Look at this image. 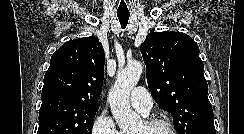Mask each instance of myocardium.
<instances>
[{
	"label": "myocardium",
	"instance_id": "1",
	"mask_svg": "<svg viewBox=\"0 0 244 134\" xmlns=\"http://www.w3.org/2000/svg\"><path fill=\"white\" fill-rule=\"evenodd\" d=\"M143 124L145 127L150 128L158 125L165 126L169 129L171 134H179L175 126L168 120L165 119H160V118H151V119H146L143 121Z\"/></svg>",
	"mask_w": 244,
	"mask_h": 134
}]
</instances>
